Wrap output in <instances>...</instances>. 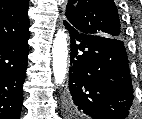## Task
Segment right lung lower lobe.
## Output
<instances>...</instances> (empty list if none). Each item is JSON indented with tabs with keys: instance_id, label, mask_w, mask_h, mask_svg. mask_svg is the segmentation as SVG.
<instances>
[{
	"instance_id": "obj_1",
	"label": "right lung lower lobe",
	"mask_w": 142,
	"mask_h": 119,
	"mask_svg": "<svg viewBox=\"0 0 142 119\" xmlns=\"http://www.w3.org/2000/svg\"><path fill=\"white\" fill-rule=\"evenodd\" d=\"M30 34L0 45V119H19Z\"/></svg>"
}]
</instances>
